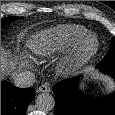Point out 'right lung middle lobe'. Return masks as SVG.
<instances>
[{"label": "right lung middle lobe", "instance_id": "obj_1", "mask_svg": "<svg viewBox=\"0 0 115 115\" xmlns=\"http://www.w3.org/2000/svg\"><path fill=\"white\" fill-rule=\"evenodd\" d=\"M17 19H19V17H17V16H12V17L3 18V19H1V27H2L3 25H5V24H7V23H9V22H11V21L17 20Z\"/></svg>", "mask_w": 115, "mask_h": 115}]
</instances>
